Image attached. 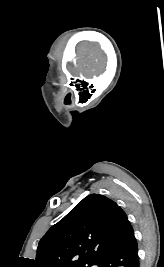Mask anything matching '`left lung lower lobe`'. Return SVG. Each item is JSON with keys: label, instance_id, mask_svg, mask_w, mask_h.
<instances>
[{"label": "left lung lower lobe", "instance_id": "1", "mask_svg": "<svg viewBox=\"0 0 164 267\" xmlns=\"http://www.w3.org/2000/svg\"><path fill=\"white\" fill-rule=\"evenodd\" d=\"M99 267H139L136 238L128 221L102 257Z\"/></svg>", "mask_w": 164, "mask_h": 267}]
</instances>
